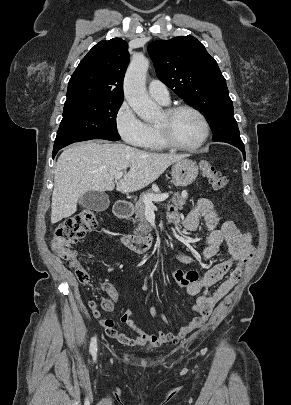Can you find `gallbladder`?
Listing matches in <instances>:
<instances>
[{"instance_id": "1", "label": "gallbladder", "mask_w": 291, "mask_h": 405, "mask_svg": "<svg viewBox=\"0 0 291 405\" xmlns=\"http://www.w3.org/2000/svg\"><path fill=\"white\" fill-rule=\"evenodd\" d=\"M79 204L92 211L102 212L105 211L109 204V197L103 192L87 191L80 199Z\"/></svg>"}]
</instances>
